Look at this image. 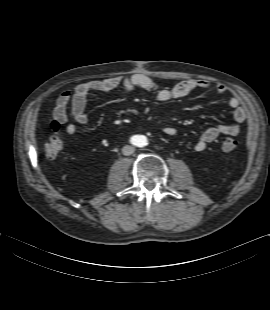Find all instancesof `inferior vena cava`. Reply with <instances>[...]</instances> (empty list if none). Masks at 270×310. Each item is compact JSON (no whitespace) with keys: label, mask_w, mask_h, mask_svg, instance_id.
Listing matches in <instances>:
<instances>
[{"label":"inferior vena cava","mask_w":270,"mask_h":310,"mask_svg":"<svg viewBox=\"0 0 270 310\" xmlns=\"http://www.w3.org/2000/svg\"><path fill=\"white\" fill-rule=\"evenodd\" d=\"M134 151H135V148L133 146L126 145L122 148V153L125 156L133 154Z\"/></svg>","instance_id":"inferior-vena-cava-1"}]
</instances>
